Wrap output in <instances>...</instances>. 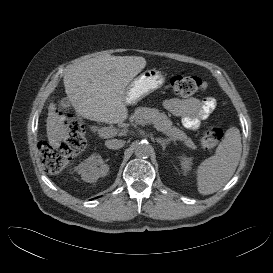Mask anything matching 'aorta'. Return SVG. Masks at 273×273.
<instances>
[{"label":"aorta","mask_w":273,"mask_h":273,"mask_svg":"<svg viewBox=\"0 0 273 273\" xmlns=\"http://www.w3.org/2000/svg\"><path fill=\"white\" fill-rule=\"evenodd\" d=\"M151 152L152 146L147 141H139L134 146V153L139 158L148 157Z\"/></svg>","instance_id":"762f6f07"}]
</instances>
